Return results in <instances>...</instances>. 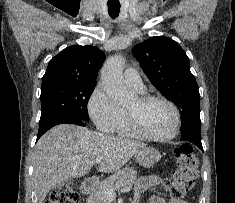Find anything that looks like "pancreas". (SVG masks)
I'll list each match as a JSON object with an SVG mask.
<instances>
[{"label":"pancreas","instance_id":"cf45deb5","mask_svg":"<svg viewBox=\"0 0 235 203\" xmlns=\"http://www.w3.org/2000/svg\"><path fill=\"white\" fill-rule=\"evenodd\" d=\"M137 177V172L134 168H124L119 170L112 176H110L107 180L101 182L92 192L90 198L88 199V203H111L110 199H108L105 195V190L112 189L117 190L122 187H128L134 184Z\"/></svg>","mask_w":235,"mask_h":203}]
</instances>
